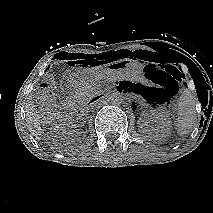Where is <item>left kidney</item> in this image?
I'll return each mask as SVG.
<instances>
[{"label":"left kidney","instance_id":"5707ae66","mask_svg":"<svg viewBox=\"0 0 213 213\" xmlns=\"http://www.w3.org/2000/svg\"><path fill=\"white\" fill-rule=\"evenodd\" d=\"M151 116L157 120L155 127L150 125L145 120L140 122V132L157 138L167 137L170 133V118L167 110L163 107L151 111Z\"/></svg>","mask_w":213,"mask_h":213}]
</instances>
